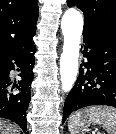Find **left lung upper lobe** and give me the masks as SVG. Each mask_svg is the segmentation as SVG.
<instances>
[{"label":"left lung upper lobe","instance_id":"1","mask_svg":"<svg viewBox=\"0 0 116 134\" xmlns=\"http://www.w3.org/2000/svg\"><path fill=\"white\" fill-rule=\"evenodd\" d=\"M68 7L83 11V31H99L116 36V0H67Z\"/></svg>","mask_w":116,"mask_h":134}]
</instances>
